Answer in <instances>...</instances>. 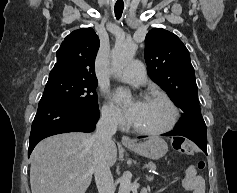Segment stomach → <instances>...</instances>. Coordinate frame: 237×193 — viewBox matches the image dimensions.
Returning <instances> with one entry per match:
<instances>
[{
    "instance_id": "obj_1",
    "label": "stomach",
    "mask_w": 237,
    "mask_h": 193,
    "mask_svg": "<svg viewBox=\"0 0 237 193\" xmlns=\"http://www.w3.org/2000/svg\"><path fill=\"white\" fill-rule=\"evenodd\" d=\"M130 150L146 158L157 160L165 156L168 151V145L160 137H152L148 140L138 143L134 146H128Z\"/></svg>"
}]
</instances>
